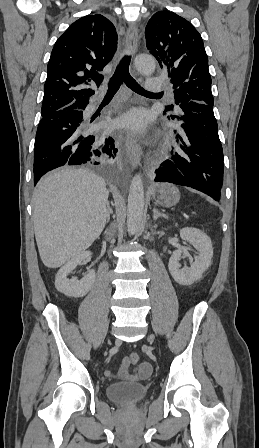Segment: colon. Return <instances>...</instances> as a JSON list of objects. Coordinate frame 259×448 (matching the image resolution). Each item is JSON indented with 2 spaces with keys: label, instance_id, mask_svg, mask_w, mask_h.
Returning <instances> with one entry per match:
<instances>
[{
  "label": "colon",
  "instance_id": "colon-1",
  "mask_svg": "<svg viewBox=\"0 0 259 448\" xmlns=\"http://www.w3.org/2000/svg\"><path fill=\"white\" fill-rule=\"evenodd\" d=\"M128 360H129L130 363L136 364V363L139 362L140 357H139V355L137 353H132V354H130L128 356Z\"/></svg>",
  "mask_w": 259,
  "mask_h": 448
}]
</instances>
